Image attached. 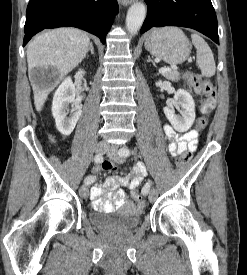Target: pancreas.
I'll use <instances>...</instances> for the list:
<instances>
[{"label": "pancreas", "instance_id": "cf45deb5", "mask_svg": "<svg viewBox=\"0 0 247 275\" xmlns=\"http://www.w3.org/2000/svg\"><path fill=\"white\" fill-rule=\"evenodd\" d=\"M163 76L170 81H178L180 79V73L176 70H168Z\"/></svg>", "mask_w": 247, "mask_h": 275}]
</instances>
